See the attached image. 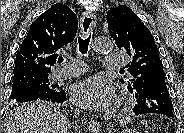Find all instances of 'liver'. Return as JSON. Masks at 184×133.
Instances as JSON below:
<instances>
[{"mask_svg":"<svg viewBox=\"0 0 184 133\" xmlns=\"http://www.w3.org/2000/svg\"><path fill=\"white\" fill-rule=\"evenodd\" d=\"M4 133H69L66 118L53 103L33 101L23 103L8 114Z\"/></svg>","mask_w":184,"mask_h":133,"instance_id":"6515ba94","label":"liver"}]
</instances>
